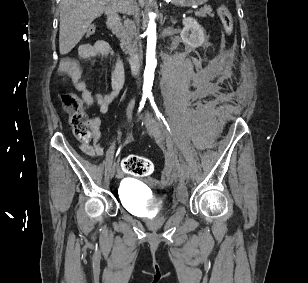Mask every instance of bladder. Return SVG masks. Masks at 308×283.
<instances>
[{
	"instance_id": "1",
	"label": "bladder",
	"mask_w": 308,
	"mask_h": 283,
	"mask_svg": "<svg viewBox=\"0 0 308 283\" xmlns=\"http://www.w3.org/2000/svg\"><path fill=\"white\" fill-rule=\"evenodd\" d=\"M119 194L122 200L131 208L139 211L141 214H144L142 207L138 201V186L133 183L126 182L123 180L120 183Z\"/></svg>"
}]
</instances>
